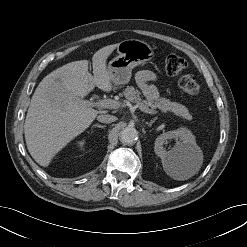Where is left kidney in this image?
Wrapping results in <instances>:
<instances>
[{
	"label": "left kidney",
	"instance_id": "5707ae66",
	"mask_svg": "<svg viewBox=\"0 0 247 247\" xmlns=\"http://www.w3.org/2000/svg\"><path fill=\"white\" fill-rule=\"evenodd\" d=\"M171 139H175L176 144L169 151H166L163 145L167 144ZM154 151L163 163H167L182 159H192L199 152V147L191 131L187 128H181L178 131H169L158 136L155 141Z\"/></svg>",
	"mask_w": 247,
	"mask_h": 247
}]
</instances>
